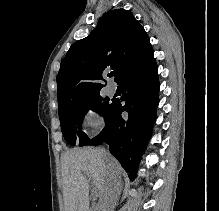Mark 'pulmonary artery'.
Returning a JSON list of instances; mask_svg holds the SVG:
<instances>
[{
	"label": "pulmonary artery",
	"instance_id": "e3ab8cb5",
	"mask_svg": "<svg viewBox=\"0 0 219 211\" xmlns=\"http://www.w3.org/2000/svg\"><path fill=\"white\" fill-rule=\"evenodd\" d=\"M107 91L109 95L113 96L116 93V87L112 83H109Z\"/></svg>",
	"mask_w": 219,
	"mask_h": 211
}]
</instances>
